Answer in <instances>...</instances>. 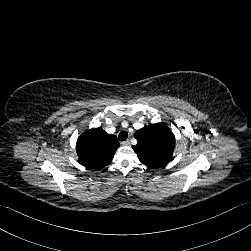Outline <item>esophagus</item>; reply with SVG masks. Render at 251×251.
Instances as JSON below:
<instances>
[{
	"label": "esophagus",
	"mask_w": 251,
	"mask_h": 251,
	"mask_svg": "<svg viewBox=\"0 0 251 251\" xmlns=\"http://www.w3.org/2000/svg\"><path fill=\"white\" fill-rule=\"evenodd\" d=\"M121 144H122L123 146H128V145L130 144V141H129V140H126V141L121 142Z\"/></svg>",
	"instance_id": "1"
}]
</instances>
